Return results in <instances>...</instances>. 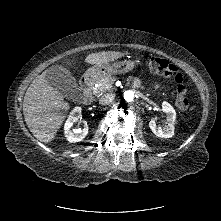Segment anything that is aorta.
I'll return each instance as SVG.
<instances>
[{
    "instance_id": "1",
    "label": "aorta",
    "mask_w": 221,
    "mask_h": 221,
    "mask_svg": "<svg viewBox=\"0 0 221 221\" xmlns=\"http://www.w3.org/2000/svg\"><path fill=\"white\" fill-rule=\"evenodd\" d=\"M133 98H134V93L132 91H126L124 93V99L127 101V102H131L133 101Z\"/></svg>"
}]
</instances>
